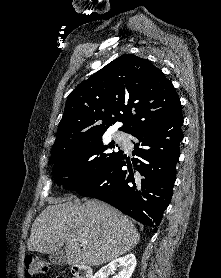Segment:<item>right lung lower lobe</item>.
<instances>
[{"mask_svg": "<svg viewBox=\"0 0 221 278\" xmlns=\"http://www.w3.org/2000/svg\"><path fill=\"white\" fill-rule=\"evenodd\" d=\"M183 114L132 131V164L121 152L97 177L76 189L116 207L126 215L157 230L172 198L176 163L183 139ZM128 166V170H122Z\"/></svg>", "mask_w": 221, "mask_h": 278, "instance_id": "right-lung-lower-lobe-1", "label": "right lung lower lobe"}]
</instances>
